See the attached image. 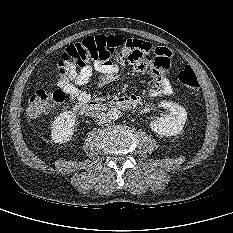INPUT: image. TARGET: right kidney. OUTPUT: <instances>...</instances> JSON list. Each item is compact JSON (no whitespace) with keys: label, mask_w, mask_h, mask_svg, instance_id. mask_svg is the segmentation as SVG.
<instances>
[{"label":"right kidney","mask_w":233,"mask_h":233,"mask_svg":"<svg viewBox=\"0 0 233 233\" xmlns=\"http://www.w3.org/2000/svg\"><path fill=\"white\" fill-rule=\"evenodd\" d=\"M76 115L71 111L60 113L54 120L51 138L54 143H66L74 134Z\"/></svg>","instance_id":"1"}]
</instances>
